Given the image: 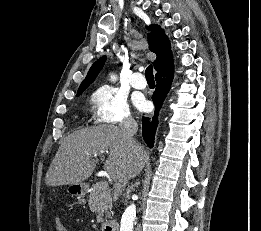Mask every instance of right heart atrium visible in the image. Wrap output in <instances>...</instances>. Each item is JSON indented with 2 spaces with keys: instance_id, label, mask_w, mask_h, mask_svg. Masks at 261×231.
Instances as JSON below:
<instances>
[{
  "instance_id": "obj_1",
  "label": "right heart atrium",
  "mask_w": 261,
  "mask_h": 231,
  "mask_svg": "<svg viewBox=\"0 0 261 231\" xmlns=\"http://www.w3.org/2000/svg\"><path fill=\"white\" fill-rule=\"evenodd\" d=\"M96 122L106 125L124 126L133 119L125 95L111 86L97 88L91 96Z\"/></svg>"
}]
</instances>
